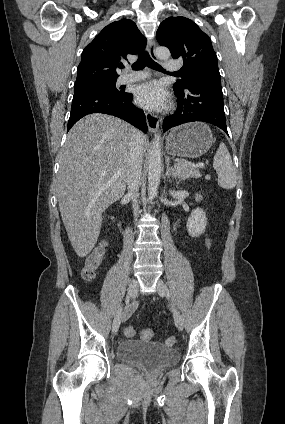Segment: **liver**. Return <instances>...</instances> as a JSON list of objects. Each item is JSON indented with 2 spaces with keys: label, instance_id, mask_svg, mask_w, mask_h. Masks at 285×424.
I'll list each match as a JSON object with an SVG mask.
<instances>
[{
  "label": "liver",
  "instance_id": "liver-1",
  "mask_svg": "<svg viewBox=\"0 0 285 424\" xmlns=\"http://www.w3.org/2000/svg\"><path fill=\"white\" fill-rule=\"evenodd\" d=\"M137 131L101 113L80 119L59 153L57 198L68 238L79 257L94 248L102 213L119 200L127 184V159ZM143 153L148 142L140 133Z\"/></svg>",
  "mask_w": 285,
  "mask_h": 424
}]
</instances>
